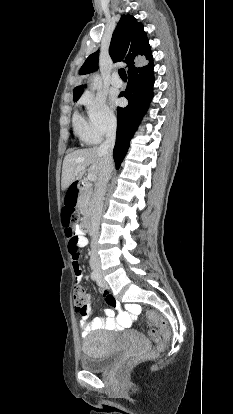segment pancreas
<instances>
[{"mask_svg":"<svg viewBox=\"0 0 233 414\" xmlns=\"http://www.w3.org/2000/svg\"><path fill=\"white\" fill-rule=\"evenodd\" d=\"M95 200V191L89 186L79 198L78 208L83 216H89Z\"/></svg>","mask_w":233,"mask_h":414,"instance_id":"1","label":"pancreas"}]
</instances>
